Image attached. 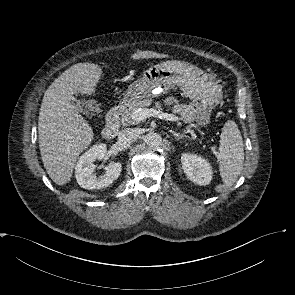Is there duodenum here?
Here are the masks:
<instances>
[{"label":"duodenum","instance_id":"duodenum-1","mask_svg":"<svg viewBox=\"0 0 295 295\" xmlns=\"http://www.w3.org/2000/svg\"><path fill=\"white\" fill-rule=\"evenodd\" d=\"M123 109V105H117L114 108H112L106 118V125L103 129V137L105 139H113L119 130V121H120V115Z\"/></svg>","mask_w":295,"mask_h":295}]
</instances>
